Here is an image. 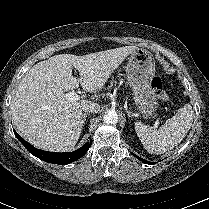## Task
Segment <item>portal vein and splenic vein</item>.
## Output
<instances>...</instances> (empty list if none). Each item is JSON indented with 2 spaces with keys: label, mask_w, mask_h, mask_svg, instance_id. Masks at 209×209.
Wrapping results in <instances>:
<instances>
[{
  "label": "portal vein and splenic vein",
  "mask_w": 209,
  "mask_h": 209,
  "mask_svg": "<svg viewBox=\"0 0 209 209\" xmlns=\"http://www.w3.org/2000/svg\"><path fill=\"white\" fill-rule=\"evenodd\" d=\"M64 97L70 101V102H73V101H77V100H80V98H82L81 95L77 94L76 92H69V93H66L64 95Z\"/></svg>",
  "instance_id": "portal-vein-and-splenic-vein-1"
}]
</instances>
